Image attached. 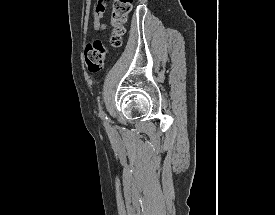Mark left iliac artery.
I'll list each match as a JSON object with an SVG mask.
<instances>
[{
  "label": "left iliac artery",
  "instance_id": "1",
  "mask_svg": "<svg viewBox=\"0 0 275 215\" xmlns=\"http://www.w3.org/2000/svg\"><path fill=\"white\" fill-rule=\"evenodd\" d=\"M99 117H100L102 120L106 121V122H107V120H108V117H107L106 113H105L104 110H103L102 102L99 104Z\"/></svg>",
  "mask_w": 275,
  "mask_h": 215
}]
</instances>
